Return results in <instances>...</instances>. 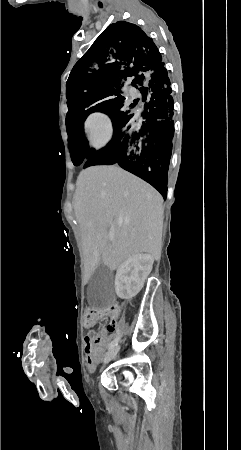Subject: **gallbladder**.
<instances>
[{
  "label": "gallbladder",
  "mask_w": 241,
  "mask_h": 450,
  "mask_svg": "<svg viewBox=\"0 0 241 450\" xmlns=\"http://www.w3.org/2000/svg\"><path fill=\"white\" fill-rule=\"evenodd\" d=\"M114 280L111 270H106L104 264H99L89 282L87 293L89 310H107L108 305H114Z\"/></svg>",
  "instance_id": "gallbladder-1"
}]
</instances>
